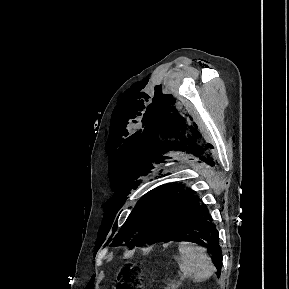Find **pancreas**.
Returning a JSON list of instances; mask_svg holds the SVG:
<instances>
[{
    "label": "pancreas",
    "instance_id": "obj_1",
    "mask_svg": "<svg viewBox=\"0 0 289 289\" xmlns=\"http://www.w3.org/2000/svg\"><path fill=\"white\" fill-rule=\"evenodd\" d=\"M178 286L179 284L172 283V284L167 285L165 289H178Z\"/></svg>",
    "mask_w": 289,
    "mask_h": 289
}]
</instances>
